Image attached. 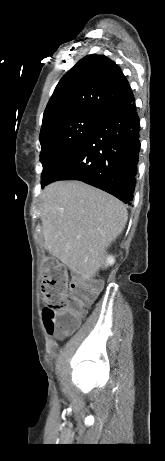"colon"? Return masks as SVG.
I'll list each match as a JSON object with an SVG mask.
<instances>
[{"instance_id":"obj_1","label":"colon","mask_w":165,"mask_h":461,"mask_svg":"<svg viewBox=\"0 0 165 461\" xmlns=\"http://www.w3.org/2000/svg\"><path fill=\"white\" fill-rule=\"evenodd\" d=\"M42 285L46 330L56 338L68 337L78 328L85 308L98 294L100 284L69 278L63 264L47 257L42 263Z\"/></svg>"}]
</instances>
